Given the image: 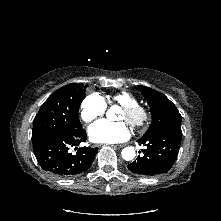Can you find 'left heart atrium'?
I'll use <instances>...</instances> for the list:
<instances>
[{"label": "left heart atrium", "mask_w": 221, "mask_h": 221, "mask_svg": "<svg viewBox=\"0 0 221 221\" xmlns=\"http://www.w3.org/2000/svg\"><path fill=\"white\" fill-rule=\"evenodd\" d=\"M129 136L130 131L125 122L101 120L89 128V138L95 143H118Z\"/></svg>", "instance_id": "left-heart-atrium-1"}]
</instances>
